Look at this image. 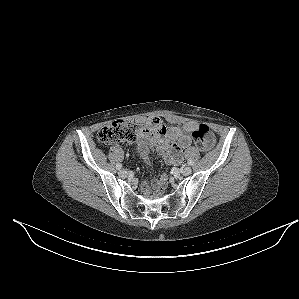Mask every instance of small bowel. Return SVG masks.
<instances>
[{"instance_id": "small-bowel-1", "label": "small bowel", "mask_w": 299, "mask_h": 299, "mask_svg": "<svg viewBox=\"0 0 299 299\" xmlns=\"http://www.w3.org/2000/svg\"><path fill=\"white\" fill-rule=\"evenodd\" d=\"M197 126V122L187 121L181 127H166L159 117H148L136 141L137 151L147 163L150 162V151L156 150L167 164L178 165L182 161L183 150L192 143L191 135ZM163 181L164 177L155 180L152 186L158 189Z\"/></svg>"}]
</instances>
